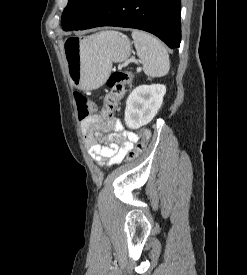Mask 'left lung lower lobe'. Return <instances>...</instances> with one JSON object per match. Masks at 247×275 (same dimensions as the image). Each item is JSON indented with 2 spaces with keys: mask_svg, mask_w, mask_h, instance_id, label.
I'll return each instance as SVG.
<instances>
[{
  "mask_svg": "<svg viewBox=\"0 0 247 275\" xmlns=\"http://www.w3.org/2000/svg\"><path fill=\"white\" fill-rule=\"evenodd\" d=\"M181 0H104L79 28L99 26L135 28L159 37L170 48L180 46Z\"/></svg>",
  "mask_w": 247,
  "mask_h": 275,
  "instance_id": "obj_1",
  "label": "left lung lower lobe"
}]
</instances>
